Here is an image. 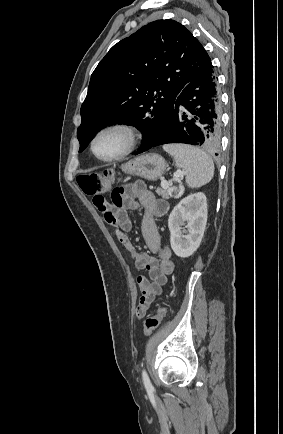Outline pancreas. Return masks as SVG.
<instances>
[{
	"mask_svg": "<svg viewBox=\"0 0 283 434\" xmlns=\"http://www.w3.org/2000/svg\"><path fill=\"white\" fill-rule=\"evenodd\" d=\"M173 192H178V194H177V196L176 197H179L180 196V194H181V192H182V190L181 189H177L176 187H165V188H157V190H156V193L159 195V196H162L163 198H165V199H169V198H171L172 197V193Z\"/></svg>",
	"mask_w": 283,
	"mask_h": 434,
	"instance_id": "cf45deb5",
	"label": "pancreas"
}]
</instances>
